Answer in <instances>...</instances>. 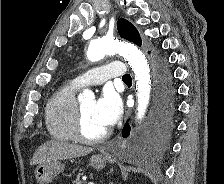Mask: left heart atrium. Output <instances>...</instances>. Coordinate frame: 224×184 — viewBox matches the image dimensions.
Masks as SVG:
<instances>
[{
	"instance_id": "left-heart-atrium-1",
	"label": "left heart atrium",
	"mask_w": 224,
	"mask_h": 184,
	"mask_svg": "<svg viewBox=\"0 0 224 184\" xmlns=\"http://www.w3.org/2000/svg\"><path fill=\"white\" fill-rule=\"evenodd\" d=\"M97 120L106 128L113 126L121 115V105L117 97L105 92L94 105Z\"/></svg>"
}]
</instances>
